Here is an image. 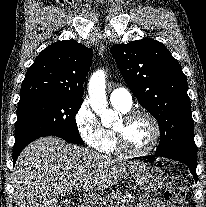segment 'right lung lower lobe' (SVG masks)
Instances as JSON below:
<instances>
[{"mask_svg":"<svg viewBox=\"0 0 206 207\" xmlns=\"http://www.w3.org/2000/svg\"><path fill=\"white\" fill-rule=\"evenodd\" d=\"M26 147V146H25ZM25 147H22L20 149H17V150H13V164H15L16 160H17V157L19 156L20 152L25 148Z\"/></svg>","mask_w":206,"mask_h":207,"instance_id":"98d812e1","label":"right lung lower lobe"}]
</instances>
